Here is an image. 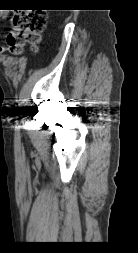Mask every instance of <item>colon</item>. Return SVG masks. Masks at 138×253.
I'll return each mask as SVG.
<instances>
[{
	"label": "colon",
	"instance_id": "obj_1",
	"mask_svg": "<svg viewBox=\"0 0 138 253\" xmlns=\"http://www.w3.org/2000/svg\"><path fill=\"white\" fill-rule=\"evenodd\" d=\"M46 14L37 11H17L11 18L7 44L11 51L20 53L26 43L35 44L46 26Z\"/></svg>",
	"mask_w": 138,
	"mask_h": 253
}]
</instances>
